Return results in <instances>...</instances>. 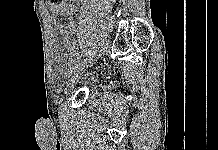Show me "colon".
<instances>
[{
  "label": "colon",
  "mask_w": 218,
  "mask_h": 150,
  "mask_svg": "<svg viewBox=\"0 0 218 150\" xmlns=\"http://www.w3.org/2000/svg\"><path fill=\"white\" fill-rule=\"evenodd\" d=\"M61 0H50L49 5L50 6H54L56 4H58Z\"/></svg>",
  "instance_id": "1"
}]
</instances>
